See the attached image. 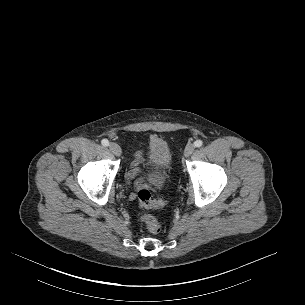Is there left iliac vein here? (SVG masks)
<instances>
[{"instance_id": "1", "label": "left iliac vein", "mask_w": 305, "mask_h": 305, "mask_svg": "<svg viewBox=\"0 0 305 305\" xmlns=\"http://www.w3.org/2000/svg\"><path fill=\"white\" fill-rule=\"evenodd\" d=\"M194 149H195V145L193 143L187 144L184 150L185 157H189L194 152Z\"/></svg>"}]
</instances>
